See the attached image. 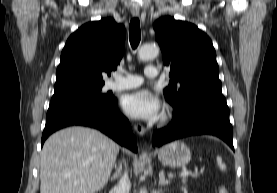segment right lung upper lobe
Returning a JSON list of instances; mask_svg holds the SVG:
<instances>
[{
	"label": "right lung upper lobe",
	"mask_w": 277,
	"mask_h": 193,
	"mask_svg": "<svg viewBox=\"0 0 277 193\" xmlns=\"http://www.w3.org/2000/svg\"><path fill=\"white\" fill-rule=\"evenodd\" d=\"M126 31L113 18L89 22L67 40L56 71L54 94L103 86L124 54Z\"/></svg>",
	"instance_id": "cb5924a9"
}]
</instances>
